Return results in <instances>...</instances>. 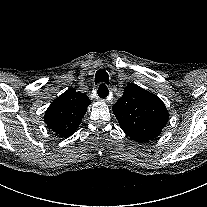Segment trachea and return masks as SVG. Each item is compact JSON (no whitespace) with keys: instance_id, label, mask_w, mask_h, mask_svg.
Listing matches in <instances>:
<instances>
[{"instance_id":"3493384b","label":"trachea","mask_w":207,"mask_h":207,"mask_svg":"<svg viewBox=\"0 0 207 207\" xmlns=\"http://www.w3.org/2000/svg\"><path fill=\"white\" fill-rule=\"evenodd\" d=\"M95 83L96 84L101 83L98 88V96L100 98L107 97L109 94V91L106 85L109 84V75L105 70L100 69L96 72Z\"/></svg>"}]
</instances>
